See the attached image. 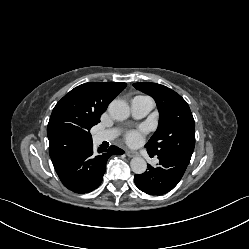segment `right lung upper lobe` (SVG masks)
Wrapping results in <instances>:
<instances>
[{"mask_svg":"<svg viewBox=\"0 0 249 249\" xmlns=\"http://www.w3.org/2000/svg\"><path fill=\"white\" fill-rule=\"evenodd\" d=\"M120 82H88L67 93L54 107L48 126L49 154L60 171L92 143L90 129L108 104L126 87Z\"/></svg>","mask_w":249,"mask_h":249,"instance_id":"right-lung-upper-lobe-1","label":"right lung upper lobe"}]
</instances>
